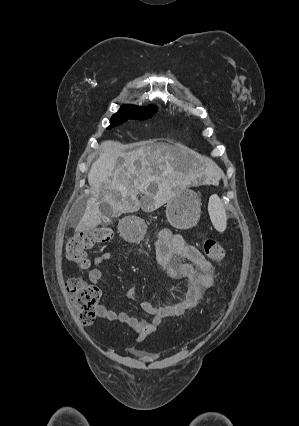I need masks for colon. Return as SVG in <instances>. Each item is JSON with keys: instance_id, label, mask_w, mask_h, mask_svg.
Listing matches in <instances>:
<instances>
[{"instance_id": "colon-1", "label": "colon", "mask_w": 299, "mask_h": 426, "mask_svg": "<svg viewBox=\"0 0 299 426\" xmlns=\"http://www.w3.org/2000/svg\"><path fill=\"white\" fill-rule=\"evenodd\" d=\"M112 237L113 231L108 227L80 231L67 243V258L81 269H86L89 267L87 252L96 245L108 242ZM203 250L205 256L211 261L219 262L225 256L224 248L212 238L204 242ZM66 288L79 322L84 326L90 325L95 319L96 306L100 297L98 288L80 277L69 278Z\"/></svg>"}]
</instances>
